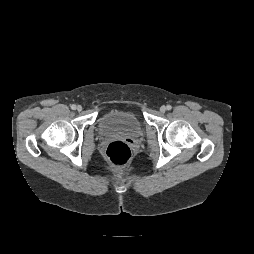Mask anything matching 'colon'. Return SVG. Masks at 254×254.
Instances as JSON below:
<instances>
[{
	"instance_id": "obj_1",
	"label": "colon",
	"mask_w": 254,
	"mask_h": 254,
	"mask_svg": "<svg viewBox=\"0 0 254 254\" xmlns=\"http://www.w3.org/2000/svg\"><path fill=\"white\" fill-rule=\"evenodd\" d=\"M132 152L124 141L111 142L105 150V158L109 167L115 171L123 170L131 160Z\"/></svg>"
}]
</instances>
